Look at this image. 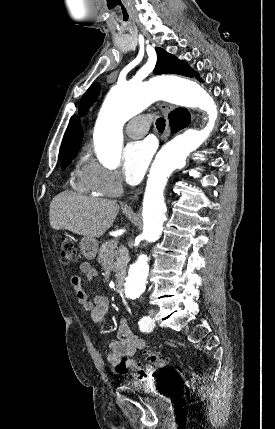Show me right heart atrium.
I'll return each mask as SVG.
<instances>
[{
  "label": "right heart atrium",
  "mask_w": 275,
  "mask_h": 429,
  "mask_svg": "<svg viewBox=\"0 0 275 429\" xmlns=\"http://www.w3.org/2000/svg\"><path fill=\"white\" fill-rule=\"evenodd\" d=\"M87 176L92 187L101 195L117 196L123 189L122 179L116 171L94 161L87 163Z\"/></svg>",
  "instance_id": "1"
}]
</instances>
